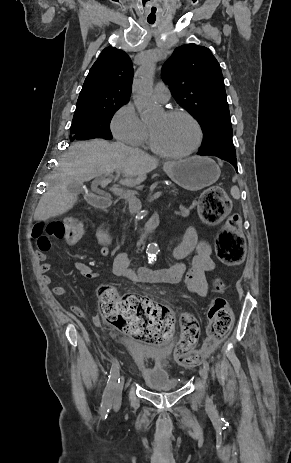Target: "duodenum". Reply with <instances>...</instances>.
<instances>
[{"instance_id": "410a0bca", "label": "duodenum", "mask_w": 291, "mask_h": 463, "mask_svg": "<svg viewBox=\"0 0 291 463\" xmlns=\"http://www.w3.org/2000/svg\"><path fill=\"white\" fill-rule=\"evenodd\" d=\"M89 201L92 205H94L97 208H106L110 204L111 197L106 193L95 192L90 195ZM156 223H157L156 218H150L144 226V233H149L153 231L156 227ZM145 245H146V240L143 238L138 242L137 248L139 250H142L145 247ZM146 269L150 270L148 268Z\"/></svg>"}]
</instances>
